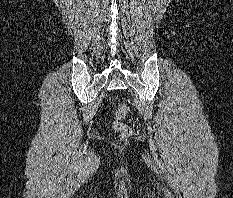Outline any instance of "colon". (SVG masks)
<instances>
[{
	"label": "colon",
	"mask_w": 233,
	"mask_h": 198,
	"mask_svg": "<svg viewBox=\"0 0 233 198\" xmlns=\"http://www.w3.org/2000/svg\"><path fill=\"white\" fill-rule=\"evenodd\" d=\"M128 113L126 104H119L113 114L112 126L113 129L119 134L121 139H127L132 134L131 127L124 122Z\"/></svg>",
	"instance_id": "obj_1"
}]
</instances>
